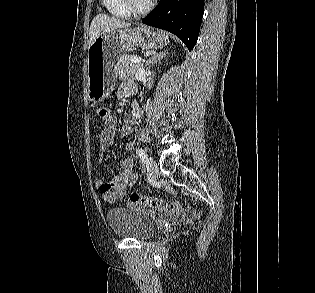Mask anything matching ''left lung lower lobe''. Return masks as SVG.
Listing matches in <instances>:
<instances>
[{"instance_id":"obj_1","label":"left lung lower lobe","mask_w":315,"mask_h":293,"mask_svg":"<svg viewBox=\"0 0 315 293\" xmlns=\"http://www.w3.org/2000/svg\"><path fill=\"white\" fill-rule=\"evenodd\" d=\"M204 12V0H160L143 20L178 36L192 50L197 42Z\"/></svg>"}]
</instances>
